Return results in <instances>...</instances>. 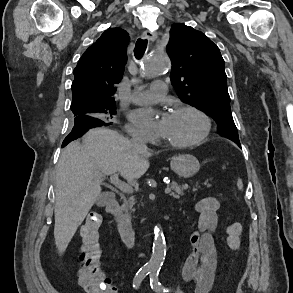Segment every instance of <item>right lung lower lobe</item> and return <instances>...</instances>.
Listing matches in <instances>:
<instances>
[{
    "instance_id": "98d812e1",
    "label": "right lung lower lobe",
    "mask_w": 293,
    "mask_h": 293,
    "mask_svg": "<svg viewBox=\"0 0 293 293\" xmlns=\"http://www.w3.org/2000/svg\"><path fill=\"white\" fill-rule=\"evenodd\" d=\"M108 126L110 122L104 121L97 117L87 116V115H80L75 117L74 126L72 131L69 135L65 138L62 143V148L65 147L71 141L77 139L78 137L82 136L88 129L97 127V126Z\"/></svg>"
}]
</instances>
